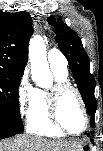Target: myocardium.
<instances>
[{"instance_id":"1","label":"myocardium","mask_w":103,"mask_h":151,"mask_svg":"<svg viewBox=\"0 0 103 151\" xmlns=\"http://www.w3.org/2000/svg\"><path fill=\"white\" fill-rule=\"evenodd\" d=\"M67 93H73L77 97L82 107L85 123L84 128L80 132L71 131L60 120L59 117L60 101L62 97ZM47 95H48V117L54 128L65 134L72 136H79L86 132L90 122L89 113L81 93L75 87L71 86L68 83L57 82L48 90Z\"/></svg>"}]
</instances>
